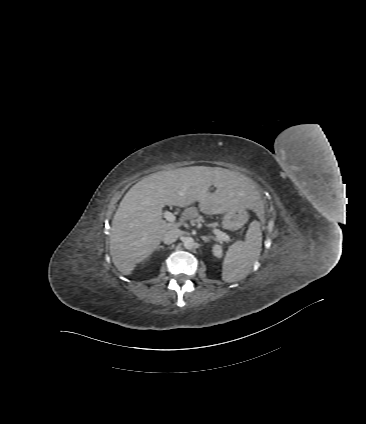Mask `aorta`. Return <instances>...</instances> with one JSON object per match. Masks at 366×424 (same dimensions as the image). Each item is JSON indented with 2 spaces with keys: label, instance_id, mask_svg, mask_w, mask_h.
<instances>
[{
  "label": "aorta",
  "instance_id": "762f6f07",
  "mask_svg": "<svg viewBox=\"0 0 366 424\" xmlns=\"http://www.w3.org/2000/svg\"><path fill=\"white\" fill-rule=\"evenodd\" d=\"M183 245L186 249L191 250L195 248L196 243L192 237H185L183 239Z\"/></svg>",
  "mask_w": 366,
  "mask_h": 424
}]
</instances>
